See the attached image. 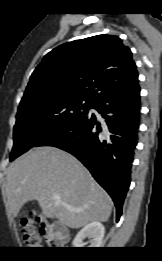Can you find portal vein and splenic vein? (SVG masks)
I'll use <instances>...</instances> for the list:
<instances>
[{"instance_id": "1", "label": "portal vein and splenic vein", "mask_w": 162, "mask_h": 261, "mask_svg": "<svg viewBox=\"0 0 162 261\" xmlns=\"http://www.w3.org/2000/svg\"><path fill=\"white\" fill-rule=\"evenodd\" d=\"M53 198L57 201H60V196L58 194H54ZM69 208V207H68ZM70 209V208H69Z\"/></svg>"}]
</instances>
